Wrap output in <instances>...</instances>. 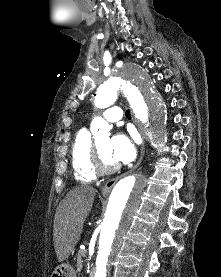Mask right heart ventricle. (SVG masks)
Segmentation results:
<instances>
[{"label": "right heart ventricle", "mask_w": 221, "mask_h": 277, "mask_svg": "<svg viewBox=\"0 0 221 277\" xmlns=\"http://www.w3.org/2000/svg\"><path fill=\"white\" fill-rule=\"evenodd\" d=\"M93 141L86 128L75 135L71 149V163L74 177L81 183H89L96 179L97 173L92 166Z\"/></svg>", "instance_id": "1"}]
</instances>
